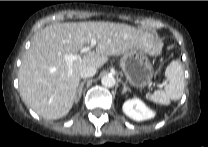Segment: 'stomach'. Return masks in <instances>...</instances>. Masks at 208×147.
<instances>
[{"instance_id": "stomach-1", "label": "stomach", "mask_w": 208, "mask_h": 147, "mask_svg": "<svg viewBox=\"0 0 208 147\" xmlns=\"http://www.w3.org/2000/svg\"><path fill=\"white\" fill-rule=\"evenodd\" d=\"M120 67L131 86L143 88L151 82L153 67L146 53L132 49L121 57Z\"/></svg>"}]
</instances>
